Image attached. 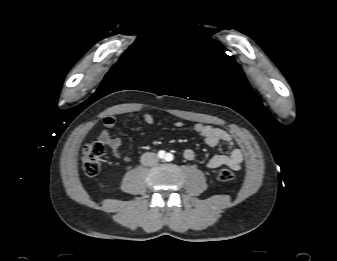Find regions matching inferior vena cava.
Wrapping results in <instances>:
<instances>
[{"mask_svg":"<svg viewBox=\"0 0 337 261\" xmlns=\"http://www.w3.org/2000/svg\"><path fill=\"white\" fill-rule=\"evenodd\" d=\"M158 162L157 155L153 152H146L141 156V163L144 166H152Z\"/></svg>","mask_w":337,"mask_h":261,"instance_id":"602c4592","label":"inferior vena cava"}]
</instances>
